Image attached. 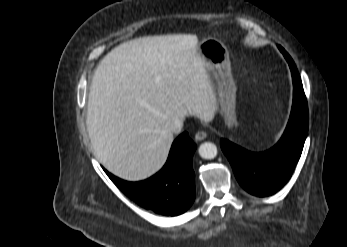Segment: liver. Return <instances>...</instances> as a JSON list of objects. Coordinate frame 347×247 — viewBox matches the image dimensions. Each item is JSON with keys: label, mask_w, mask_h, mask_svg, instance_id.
Masks as SVG:
<instances>
[{"label": "liver", "mask_w": 347, "mask_h": 247, "mask_svg": "<svg viewBox=\"0 0 347 247\" xmlns=\"http://www.w3.org/2000/svg\"><path fill=\"white\" fill-rule=\"evenodd\" d=\"M196 35L147 36L112 49L97 66L87 105V130L97 159L114 175L140 181L165 164L169 126L217 110Z\"/></svg>", "instance_id": "1"}]
</instances>
